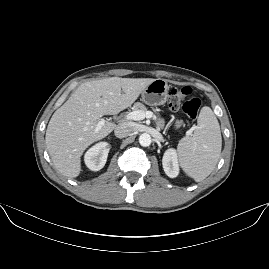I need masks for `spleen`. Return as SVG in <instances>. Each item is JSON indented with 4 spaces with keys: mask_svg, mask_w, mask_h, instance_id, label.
Wrapping results in <instances>:
<instances>
[{
    "mask_svg": "<svg viewBox=\"0 0 269 269\" xmlns=\"http://www.w3.org/2000/svg\"><path fill=\"white\" fill-rule=\"evenodd\" d=\"M192 138L179 141L176 152L184 174L201 182L214 170L222 148L220 125L212 109H201Z\"/></svg>",
    "mask_w": 269,
    "mask_h": 269,
    "instance_id": "1",
    "label": "spleen"
}]
</instances>
